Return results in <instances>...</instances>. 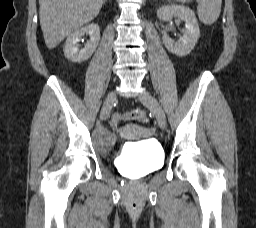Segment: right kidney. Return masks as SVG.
<instances>
[{
    "label": "right kidney",
    "mask_w": 256,
    "mask_h": 228,
    "mask_svg": "<svg viewBox=\"0 0 256 228\" xmlns=\"http://www.w3.org/2000/svg\"><path fill=\"white\" fill-rule=\"evenodd\" d=\"M84 35H89L90 40L80 49L78 42ZM100 40V29L97 24H90L82 27L67 37L65 42L64 55L75 63H80L92 56Z\"/></svg>",
    "instance_id": "1"
}]
</instances>
